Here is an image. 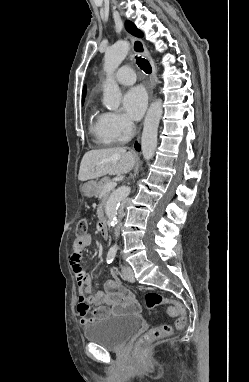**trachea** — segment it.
<instances>
[{
  "label": "trachea",
  "instance_id": "trachea-1",
  "mask_svg": "<svg viewBox=\"0 0 249 382\" xmlns=\"http://www.w3.org/2000/svg\"><path fill=\"white\" fill-rule=\"evenodd\" d=\"M136 63L138 64V66L147 74H150L151 71H152V68H151V65L150 63L144 59V58H141V57H136Z\"/></svg>",
  "mask_w": 249,
  "mask_h": 382
}]
</instances>
